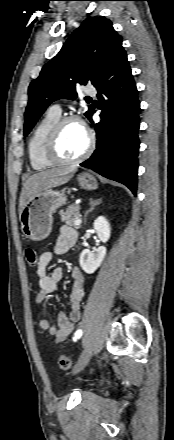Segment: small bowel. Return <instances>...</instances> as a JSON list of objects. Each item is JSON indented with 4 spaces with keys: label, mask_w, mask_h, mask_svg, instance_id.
Instances as JSON below:
<instances>
[{
    "label": "small bowel",
    "mask_w": 174,
    "mask_h": 440,
    "mask_svg": "<svg viewBox=\"0 0 174 440\" xmlns=\"http://www.w3.org/2000/svg\"><path fill=\"white\" fill-rule=\"evenodd\" d=\"M78 235L75 230L70 227L63 226L60 228L54 251H46L40 255L37 275L39 277V290L35 298L36 305L41 307L45 298L54 293L57 289L58 283L63 277V270L60 267H55L48 270V266L54 255H63L76 245ZM73 285L70 294V312H60L57 317L58 326L52 325L48 318L40 320V328L54 337L57 342L64 341L73 331L75 324H77L82 315L81 303L85 292V278L82 271L74 268L71 273Z\"/></svg>",
    "instance_id": "small-bowel-1"
}]
</instances>
